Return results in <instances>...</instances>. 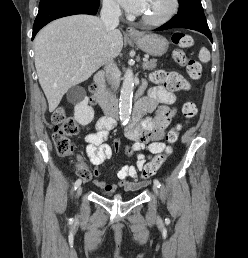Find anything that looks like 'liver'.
Wrapping results in <instances>:
<instances>
[{
	"instance_id": "obj_1",
	"label": "liver",
	"mask_w": 248,
	"mask_h": 258,
	"mask_svg": "<svg viewBox=\"0 0 248 258\" xmlns=\"http://www.w3.org/2000/svg\"><path fill=\"white\" fill-rule=\"evenodd\" d=\"M34 42L35 67L50 112L71 87L89 79L123 48L121 32H107L101 19L91 15L57 19L45 26ZM82 56H86L84 62Z\"/></svg>"
}]
</instances>
